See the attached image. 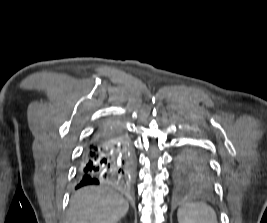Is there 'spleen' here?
Listing matches in <instances>:
<instances>
[{
	"label": "spleen",
	"instance_id": "1",
	"mask_svg": "<svg viewBox=\"0 0 267 223\" xmlns=\"http://www.w3.org/2000/svg\"><path fill=\"white\" fill-rule=\"evenodd\" d=\"M179 223H218L214 210L203 203L184 204L177 212Z\"/></svg>",
	"mask_w": 267,
	"mask_h": 223
}]
</instances>
